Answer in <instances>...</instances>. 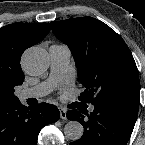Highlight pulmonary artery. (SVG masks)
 Wrapping results in <instances>:
<instances>
[{"label": "pulmonary artery", "mask_w": 145, "mask_h": 145, "mask_svg": "<svg viewBox=\"0 0 145 145\" xmlns=\"http://www.w3.org/2000/svg\"><path fill=\"white\" fill-rule=\"evenodd\" d=\"M50 54V76L47 80L20 92V99L42 98L48 95L56 84L64 77L71 56V51L66 45L53 44L49 48ZM93 110V108H91Z\"/></svg>", "instance_id": "obj_1"}]
</instances>
